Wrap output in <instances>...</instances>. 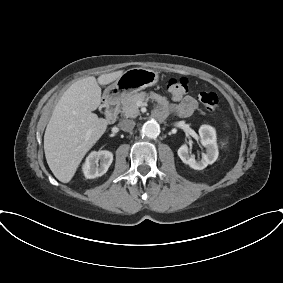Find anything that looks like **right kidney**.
<instances>
[{
  "label": "right kidney",
  "mask_w": 283,
  "mask_h": 283,
  "mask_svg": "<svg viewBox=\"0 0 283 283\" xmlns=\"http://www.w3.org/2000/svg\"><path fill=\"white\" fill-rule=\"evenodd\" d=\"M113 161V154L107 150L91 152L83 165V173L87 179L104 175Z\"/></svg>",
  "instance_id": "1"
}]
</instances>
